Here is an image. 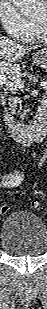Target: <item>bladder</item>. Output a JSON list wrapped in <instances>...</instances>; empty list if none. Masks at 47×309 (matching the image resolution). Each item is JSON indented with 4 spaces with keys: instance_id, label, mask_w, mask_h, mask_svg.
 <instances>
[{
    "instance_id": "1",
    "label": "bladder",
    "mask_w": 47,
    "mask_h": 309,
    "mask_svg": "<svg viewBox=\"0 0 47 309\" xmlns=\"http://www.w3.org/2000/svg\"><path fill=\"white\" fill-rule=\"evenodd\" d=\"M1 246L13 256L42 255L47 248V228L33 213L14 212L2 224Z\"/></svg>"
}]
</instances>
